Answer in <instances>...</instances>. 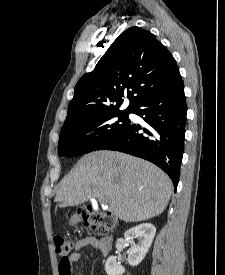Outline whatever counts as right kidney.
<instances>
[{
	"label": "right kidney",
	"instance_id": "1",
	"mask_svg": "<svg viewBox=\"0 0 225 275\" xmlns=\"http://www.w3.org/2000/svg\"><path fill=\"white\" fill-rule=\"evenodd\" d=\"M156 233V228L150 223H143L127 230L124 234L125 240L131 243L128 254V263L137 266L146 256ZM138 242L135 243L134 239ZM105 271L108 275H122L125 268L117 262L115 256H110L105 263Z\"/></svg>",
	"mask_w": 225,
	"mask_h": 275
}]
</instances>
